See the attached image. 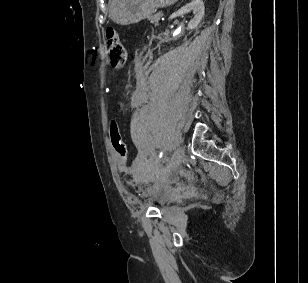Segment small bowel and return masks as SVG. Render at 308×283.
<instances>
[{
  "label": "small bowel",
  "instance_id": "small-bowel-1",
  "mask_svg": "<svg viewBox=\"0 0 308 283\" xmlns=\"http://www.w3.org/2000/svg\"><path fill=\"white\" fill-rule=\"evenodd\" d=\"M146 101V94L142 91L135 90L131 97V105L134 108L140 107ZM120 172L128 173L129 169L125 165L119 167Z\"/></svg>",
  "mask_w": 308,
  "mask_h": 283
}]
</instances>
